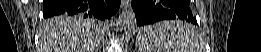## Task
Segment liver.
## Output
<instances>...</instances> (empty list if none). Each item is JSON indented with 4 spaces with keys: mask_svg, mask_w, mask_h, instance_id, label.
<instances>
[{
    "mask_svg": "<svg viewBox=\"0 0 261 52\" xmlns=\"http://www.w3.org/2000/svg\"><path fill=\"white\" fill-rule=\"evenodd\" d=\"M45 20L39 31L38 52H94L98 47L95 28L85 21Z\"/></svg>",
    "mask_w": 261,
    "mask_h": 52,
    "instance_id": "6515ba94",
    "label": "liver"
}]
</instances>
